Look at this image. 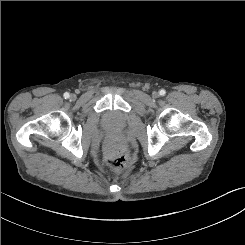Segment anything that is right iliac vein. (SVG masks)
Here are the masks:
<instances>
[{
  "label": "right iliac vein",
  "mask_w": 245,
  "mask_h": 245,
  "mask_svg": "<svg viewBox=\"0 0 245 245\" xmlns=\"http://www.w3.org/2000/svg\"><path fill=\"white\" fill-rule=\"evenodd\" d=\"M70 98L74 100V99L76 98V96H75L74 94H72V95L70 96Z\"/></svg>",
  "instance_id": "63e3f726"
}]
</instances>
